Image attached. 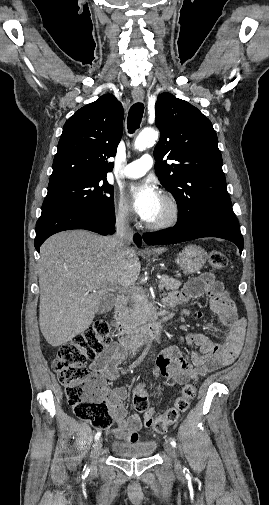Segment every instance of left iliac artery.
Wrapping results in <instances>:
<instances>
[{
    "label": "left iliac artery",
    "mask_w": 269,
    "mask_h": 505,
    "mask_svg": "<svg viewBox=\"0 0 269 505\" xmlns=\"http://www.w3.org/2000/svg\"><path fill=\"white\" fill-rule=\"evenodd\" d=\"M170 443H171V445H172L173 447H176V442H175L174 440H171V442H170ZM184 473H186V474L188 475L189 470H188V469H186V468H184Z\"/></svg>",
    "instance_id": "1"
}]
</instances>
